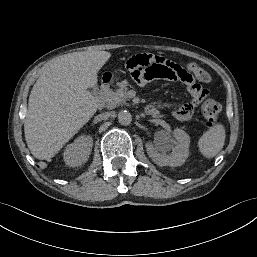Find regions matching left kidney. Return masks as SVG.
Masks as SVG:
<instances>
[{
    "label": "left kidney",
    "instance_id": "1",
    "mask_svg": "<svg viewBox=\"0 0 257 257\" xmlns=\"http://www.w3.org/2000/svg\"><path fill=\"white\" fill-rule=\"evenodd\" d=\"M172 133L175 139L163 131L156 137V146L146 144L149 157L159 166H181L189 156V135L179 128L174 129Z\"/></svg>",
    "mask_w": 257,
    "mask_h": 257
}]
</instances>
